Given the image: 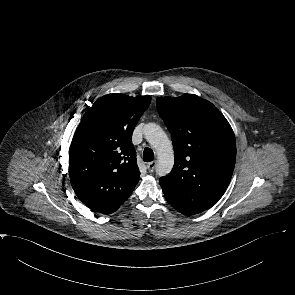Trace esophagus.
Returning a JSON list of instances; mask_svg holds the SVG:
<instances>
[{
    "label": "esophagus",
    "instance_id": "34e87169",
    "mask_svg": "<svg viewBox=\"0 0 295 295\" xmlns=\"http://www.w3.org/2000/svg\"><path fill=\"white\" fill-rule=\"evenodd\" d=\"M156 165H157L156 161H152V162L147 163V168H148L149 172H153L156 168Z\"/></svg>",
    "mask_w": 295,
    "mask_h": 295
}]
</instances>
